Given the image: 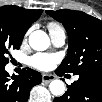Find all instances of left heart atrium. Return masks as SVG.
Here are the masks:
<instances>
[{"instance_id": "1", "label": "left heart atrium", "mask_w": 102, "mask_h": 102, "mask_svg": "<svg viewBox=\"0 0 102 102\" xmlns=\"http://www.w3.org/2000/svg\"><path fill=\"white\" fill-rule=\"evenodd\" d=\"M57 61V57L48 54H37L31 58L30 63L36 69L47 71L51 69Z\"/></svg>"}]
</instances>
